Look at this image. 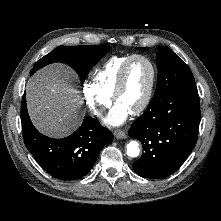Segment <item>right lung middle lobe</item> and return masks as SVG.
Segmentation results:
<instances>
[{
	"instance_id": "dd1d6c3e",
	"label": "right lung middle lobe",
	"mask_w": 221,
	"mask_h": 221,
	"mask_svg": "<svg viewBox=\"0 0 221 221\" xmlns=\"http://www.w3.org/2000/svg\"><path fill=\"white\" fill-rule=\"evenodd\" d=\"M109 50L110 46L108 44H102L99 46H58L51 53L41 58L34 65L30 74H33L48 64L64 62L74 67L80 75L81 82L83 83L92 66L95 65Z\"/></svg>"
}]
</instances>
